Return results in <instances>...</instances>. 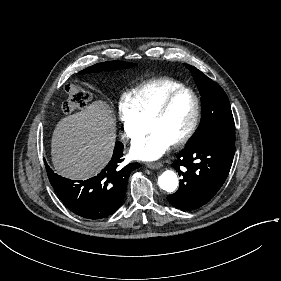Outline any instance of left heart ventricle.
I'll return each instance as SVG.
<instances>
[{
  "label": "left heart ventricle",
  "instance_id": "left-heart-ventricle-1",
  "mask_svg": "<svg viewBox=\"0 0 281 281\" xmlns=\"http://www.w3.org/2000/svg\"><path fill=\"white\" fill-rule=\"evenodd\" d=\"M193 112L192 97L188 94L181 95L173 101L160 119L147 128V131L148 133L158 132L172 143L187 131Z\"/></svg>",
  "mask_w": 281,
  "mask_h": 281
}]
</instances>
